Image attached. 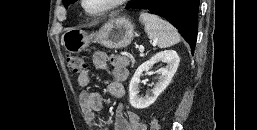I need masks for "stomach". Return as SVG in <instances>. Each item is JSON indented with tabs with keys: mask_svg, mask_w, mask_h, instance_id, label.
Returning <instances> with one entry per match:
<instances>
[{
	"mask_svg": "<svg viewBox=\"0 0 257 130\" xmlns=\"http://www.w3.org/2000/svg\"><path fill=\"white\" fill-rule=\"evenodd\" d=\"M134 29L129 18L118 16L107 21L96 33L88 34L78 28L67 29L61 37V44L69 53L81 52L90 43H99L110 49L123 48L132 42Z\"/></svg>",
	"mask_w": 257,
	"mask_h": 130,
	"instance_id": "obj_1",
	"label": "stomach"
}]
</instances>
